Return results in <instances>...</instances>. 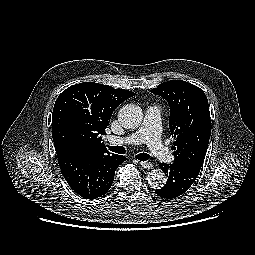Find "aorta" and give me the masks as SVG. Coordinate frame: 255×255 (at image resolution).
<instances>
[{
    "mask_svg": "<svg viewBox=\"0 0 255 255\" xmlns=\"http://www.w3.org/2000/svg\"><path fill=\"white\" fill-rule=\"evenodd\" d=\"M143 119L141 108L135 104H126L118 112V121L126 129L138 127ZM147 181L153 189L164 187L167 179L161 169H153L147 176Z\"/></svg>",
    "mask_w": 255,
    "mask_h": 255,
    "instance_id": "aorta-1",
    "label": "aorta"
}]
</instances>
